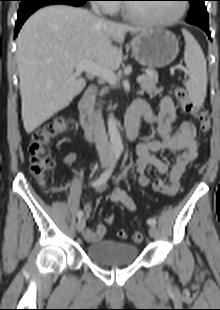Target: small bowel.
Instances as JSON below:
<instances>
[{"label": "small bowel", "mask_w": 220, "mask_h": 310, "mask_svg": "<svg viewBox=\"0 0 220 310\" xmlns=\"http://www.w3.org/2000/svg\"><path fill=\"white\" fill-rule=\"evenodd\" d=\"M130 109L139 112L148 122L156 124L160 135L159 140L142 143L137 148L136 168L139 184L154 192L168 196L176 195L180 189V181L187 166L197 157L198 143L195 125L190 121H183L178 132L171 133L176 111L173 100L169 96L161 100L160 109L157 113L153 112L144 101L135 102ZM161 151L179 152L171 169L164 160L156 156V153ZM76 157L75 153H69L65 156L64 163L71 164L76 160ZM149 166L154 167L159 174L167 175L168 180L159 177L151 182L145 173ZM95 189L100 193L106 192L111 202L121 204L132 212L136 210L135 203L125 192L118 189L109 190L104 183L96 186ZM91 209L92 204L86 203L84 206L85 219L89 217ZM105 234L106 226L101 223L97 224L93 229L85 228L83 232L84 238L89 243L103 240Z\"/></svg>", "instance_id": "small-bowel-1"}]
</instances>
